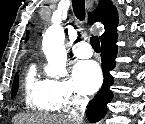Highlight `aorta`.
<instances>
[{
	"mask_svg": "<svg viewBox=\"0 0 145 124\" xmlns=\"http://www.w3.org/2000/svg\"><path fill=\"white\" fill-rule=\"evenodd\" d=\"M52 23L46 30L42 41V49L48 62L45 73L48 77H65L67 53L64 46V28L59 18L54 17Z\"/></svg>",
	"mask_w": 145,
	"mask_h": 124,
	"instance_id": "obj_1",
	"label": "aorta"
}]
</instances>
